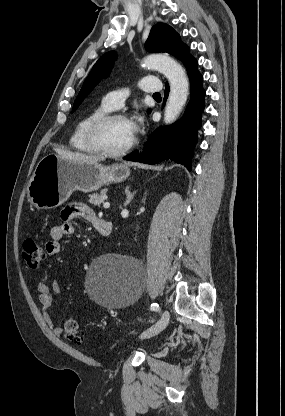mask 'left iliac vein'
<instances>
[{"label":"left iliac vein","instance_id":"1","mask_svg":"<svg viewBox=\"0 0 285 416\" xmlns=\"http://www.w3.org/2000/svg\"><path fill=\"white\" fill-rule=\"evenodd\" d=\"M169 320H170L169 311L165 310L161 319L151 328L143 332L141 335V338H151V337L156 336L157 334H159L161 331L165 329V327L169 323Z\"/></svg>","mask_w":285,"mask_h":416}]
</instances>
